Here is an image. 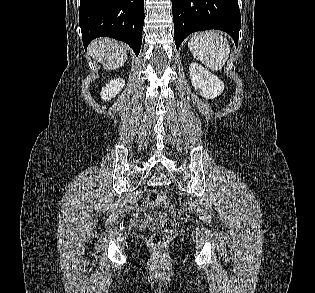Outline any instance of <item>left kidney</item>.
<instances>
[{"label": "left kidney", "instance_id": "1", "mask_svg": "<svg viewBox=\"0 0 315 293\" xmlns=\"http://www.w3.org/2000/svg\"><path fill=\"white\" fill-rule=\"evenodd\" d=\"M192 85L199 95L206 99H214L224 90V83L203 66L193 62L189 66Z\"/></svg>", "mask_w": 315, "mask_h": 293}]
</instances>
